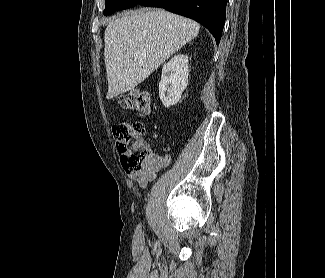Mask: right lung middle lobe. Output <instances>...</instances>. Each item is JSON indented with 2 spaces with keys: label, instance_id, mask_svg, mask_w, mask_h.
<instances>
[{
  "label": "right lung middle lobe",
  "instance_id": "obj_1",
  "mask_svg": "<svg viewBox=\"0 0 325 278\" xmlns=\"http://www.w3.org/2000/svg\"><path fill=\"white\" fill-rule=\"evenodd\" d=\"M138 0H106L104 14H112L118 10L135 6Z\"/></svg>",
  "mask_w": 325,
  "mask_h": 278
}]
</instances>
